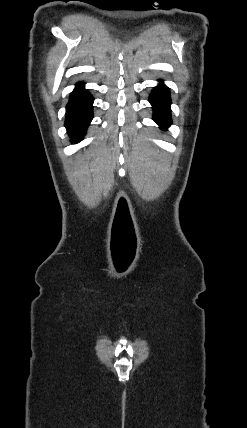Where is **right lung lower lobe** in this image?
I'll list each match as a JSON object with an SVG mask.
<instances>
[{"mask_svg": "<svg viewBox=\"0 0 247 428\" xmlns=\"http://www.w3.org/2000/svg\"><path fill=\"white\" fill-rule=\"evenodd\" d=\"M93 101L90 93L83 88V83H79L70 95L66 106L65 127L73 143L81 141L86 133L93 118Z\"/></svg>", "mask_w": 247, "mask_h": 428, "instance_id": "98d812e1", "label": "right lung lower lobe"}]
</instances>
